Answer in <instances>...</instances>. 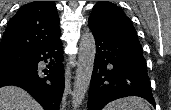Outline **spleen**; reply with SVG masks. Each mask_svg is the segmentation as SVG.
I'll use <instances>...</instances> for the list:
<instances>
[{"mask_svg":"<svg viewBox=\"0 0 171 110\" xmlns=\"http://www.w3.org/2000/svg\"><path fill=\"white\" fill-rule=\"evenodd\" d=\"M104 110H150V108L141 98L126 97L109 103Z\"/></svg>","mask_w":171,"mask_h":110,"instance_id":"1","label":"spleen"}]
</instances>
